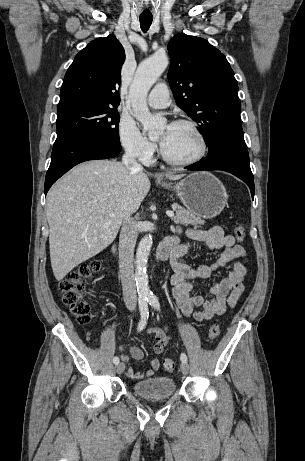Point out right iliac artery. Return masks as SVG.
<instances>
[{
    "mask_svg": "<svg viewBox=\"0 0 305 461\" xmlns=\"http://www.w3.org/2000/svg\"><path fill=\"white\" fill-rule=\"evenodd\" d=\"M139 310H140V315H141V319H140V322L138 324V331H141L143 330V328L145 327L146 323H147V319H148V316H149V311H148V304H147V298L146 297H140L139 300ZM113 363L114 364H118L119 363V358L117 356H115L113 358Z\"/></svg>",
    "mask_w": 305,
    "mask_h": 461,
    "instance_id": "1",
    "label": "right iliac artery"
}]
</instances>
